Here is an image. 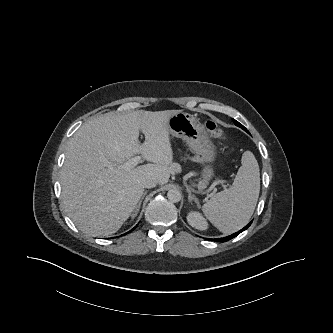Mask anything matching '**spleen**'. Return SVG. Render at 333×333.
I'll return each mask as SVG.
<instances>
[{
	"label": "spleen",
	"instance_id": "spleen-1",
	"mask_svg": "<svg viewBox=\"0 0 333 333\" xmlns=\"http://www.w3.org/2000/svg\"><path fill=\"white\" fill-rule=\"evenodd\" d=\"M259 165L250 151L242 155L232 186L215 194L206 202L202 211L208 220L225 234H231L244 227L250 220L259 197Z\"/></svg>",
	"mask_w": 333,
	"mask_h": 333
}]
</instances>
